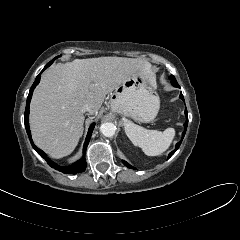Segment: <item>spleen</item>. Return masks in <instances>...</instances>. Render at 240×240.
<instances>
[{
    "mask_svg": "<svg viewBox=\"0 0 240 240\" xmlns=\"http://www.w3.org/2000/svg\"><path fill=\"white\" fill-rule=\"evenodd\" d=\"M125 133L135 146H139L148 156H158L165 152L175 136L173 128L161 132L147 130L131 121L125 122Z\"/></svg>",
    "mask_w": 240,
    "mask_h": 240,
    "instance_id": "1",
    "label": "spleen"
}]
</instances>
